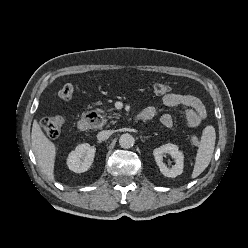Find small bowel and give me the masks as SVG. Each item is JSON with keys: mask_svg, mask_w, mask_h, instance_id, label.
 Here are the masks:
<instances>
[{"mask_svg": "<svg viewBox=\"0 0 248 248\" xmlns=\"http://www.w3.org/2000/svg\"><path fill=\"white\" fill-rule=\"evenodd\" d=\"M162 102L167 107L183 106L185 108V116L187 124L191 128L199 126L206 118L207 111L202 101L196 96L189 94L168 93L163 96ZM146 120L156 116L157 110L153 106L145 108L141 112ZM161 123L165 127H172L174 120L171 114H163L160 118Z\"/></svg>", "mask_w": 248, "mask_h": 248, "instance_id": "obj_1", "label": "small bowel"}]
</instances>
